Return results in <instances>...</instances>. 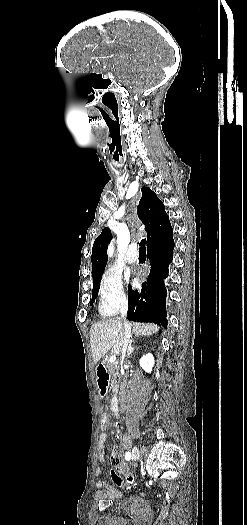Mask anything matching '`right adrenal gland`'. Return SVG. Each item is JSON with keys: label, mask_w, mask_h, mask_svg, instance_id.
<instances>
[{"label": "right adrenal gland", "mask_w": 247, "mask_h": 525, "mask_svg": "<svg viewBox=\"0 0 247 525\" xmlns=\"http://www.w3.org/2000/svg\"><path fill=\"white\" fill-rule=\"evenodd\" d=\"M133 339H136V337H133ZM133 339H131V341L129 343L128 355H131V353H133V351H135L134 347H132Z\"/></svg>", "instance_id": "2a0ac1e0"}]
</instances>
